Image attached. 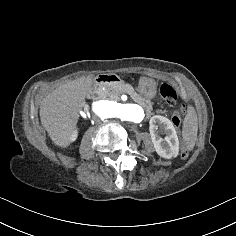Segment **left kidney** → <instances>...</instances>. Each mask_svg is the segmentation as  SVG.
<instances>
[{
    "label": "left kidney",
    "instance_id": "5707ae66",
    "mask_svg": "<svg viewBox=\"0 0 236 236\" xmlns=\"http://www.w3.org/2000/svg\"><path fill=\"white\" fill-rule=\"evenodd\" d=\"M157 124L160 128L157 129ZM154 150L157 155L164 159L177 158L179 155V141L176 130L171 121L163 116H153L149 127ZM165 134L164 138L159 136Z\"/></svg>",
    "mask_w": 236,
    "mask_h": 236
}]
</instances>
